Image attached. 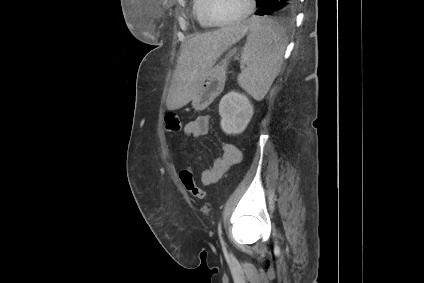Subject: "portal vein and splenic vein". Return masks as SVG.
Returning a JSON list of instances; mask_svg holds the SVG:
<instances>
[{"instance_id":"18ae733b","label":"portal vein and splenic vein","mask_w":424,"mask_h":283,"mask_svg":"<svg viewBox=\"0 0 424 283\" xmlns=\"http://www.w3.org/2000/svg\"><path fill=\"white\" fill-rule=\"evenodd\" d=\"M240 64H241V67L243 68L244 67V64L242 62Z\"/></svg>"}]
</instances>
